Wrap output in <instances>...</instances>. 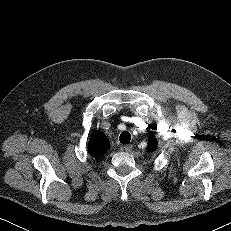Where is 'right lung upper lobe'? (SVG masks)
Returning <instances> with one entry per match:
<instances>
[{
  "instance_id": "right-lung-upper-lobe-1",
  "label": "right lung upper lobe",
  "mask_w": 231,
  "mask_h": 231,
  "mask_svg": "<svg viewBox=\"0 0 231 231\" xmlns=\"http://www.w3.org/2000/svg\"><path fill=\"white\" fill-rule=\"evenodd\" d=\"M109 148V140L103 132L97 131L91 136L88 144V152L92 157L98 158L102 156Z\"/></svg>"
}]
</instances>
